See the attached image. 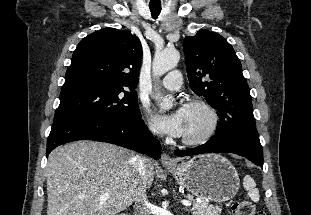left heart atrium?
<instances>
[{
    "instance_id": "obj_1",
    "label": "left heart atrium",
    "mask_w": 311,
    "mask_h": 215,
    "mask_svg": "<svg viewBox=\"0 0 311 215\" xmlns=\"http://www.w3.org/2000/svg\"><path fill=\"white\" fill-rule=\"evenodd\" d=\"M156 121L160 128L167 134L181 137L186 126V115L183 108H177L171 112H163L158 109Z\"/></svg>"
}]
</instances>
